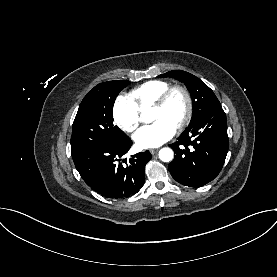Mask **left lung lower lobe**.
Here are the masks:
<instances>
[{"label": "left lung lower lobe", "mask_w": 277, "mask_h": 277, "mask_svg": "<svg viewBox=\"0 0 277 277\" xmlns=\"http://www.w3.org/2000/svg\"><path fill=\"white\" fill-rule=\"evenodd\" d=\"M170 147L176 153L168 168L172 177L189 187H201L217 177L227 151V121L222 107H217L178 137Z\"/></svg>", "instance_id": "1"}]
</instances>
